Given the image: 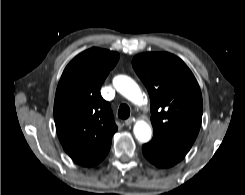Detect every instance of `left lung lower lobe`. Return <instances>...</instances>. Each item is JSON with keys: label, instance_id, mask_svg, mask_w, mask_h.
Returning <instances> with one entry per match:
<instances>
[{"label": "left lung lower lobe", "instance_id": "left-lung-lower-lobe-1", "mask_svg": "<svg viewBox=\"0 0 245 195\" xmlns=\"http://www.w3.org/2000/svg\"><path fill=\"white\" fill-rule=\"evenodd\" d=\"M191 146L188 143L154 133L152 140L143 145L142 151L147 160L155 166L169 168L181 161Z\"/></svg>", "mask_w": 245, "mask_h": 195}]
</instances>
